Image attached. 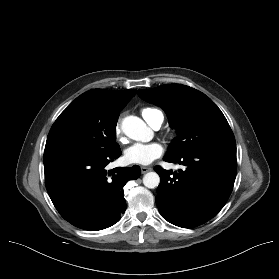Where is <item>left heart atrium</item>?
Listing matches in <instances>:
<instances>
[{
  "instance_id": "1",
  "label": "left heart atrium",
  "mask_w": 279,
  "mask_h": 279,
  "mask_svg": "<svg viewBox=\"0 0 279 279\" xmlns=\"http://www.w3.org/2000/svg\"><path fill=\"white\" fill-rule=\"evenodd\" d=\"M163 153V147L158 142L135 143L124 152V159L130 164L149 165Z\"/></svg>"
}]
</instances>
